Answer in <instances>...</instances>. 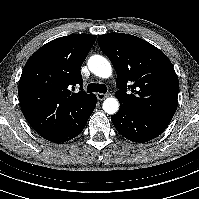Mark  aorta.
<instances>
[{
    "mask_svg": "<svg viewBox=\"0 0 199 199\" xmlns=\"http://www.w3.org/2000/svg\"><path fill=\"white\" fill-rule=\"evenodd\" d=\"M89 70L96 76L108 78L112 74L110 62L100 55H93L88 60ZM103 110L108 114H115L119 110V101L114 97H109L103 102Z\"/></svg>",
    "mask_w": 199,
    "mask_h": 199,
    "instance_id": "1",
    "label": "aorta"
}]
</instances>
